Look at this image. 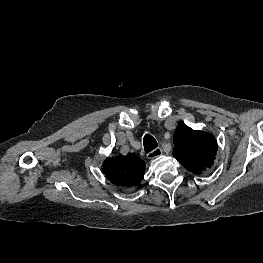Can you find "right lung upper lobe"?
<instances>
[{"label": "right lung upper lobe", "instance_id": "cb5924a9", "mask_svg": "<svg viewBox=\"0 0 263 263\" xmlns=\"http://www.w3.org/2000/svg\"><path fill=\"white\" fill-rule=\"evenodd\" d=\"M102 170L111 183L130 187L143 179L145 163L135 154L118 155L106 158Z\"/></svg>", "mask_w": 263, "mask_h": 263}]
</instances>
